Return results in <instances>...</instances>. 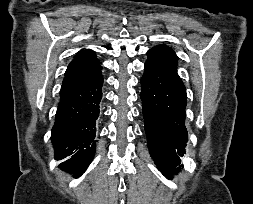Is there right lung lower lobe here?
Here are the masks:
<instances>
[{"label":"right lung lower lobe","mask_w":253,"mask_h":204,"mask_svg":"<svg viewBox=\"0 0 253 204\" xmlns=\"http://www.w3.org/2000/svg\"><path fill=\"white\" fill-rule=\"evenodd\" d=\"M99 63L95 53L87 50L69 64L52 128L55 158H67L59 167L77 175L87 169L95 154L93 140L103 85Z\"/></svg>","instance_id":"right-lung-lower-lobe-1"}]
</instances>
